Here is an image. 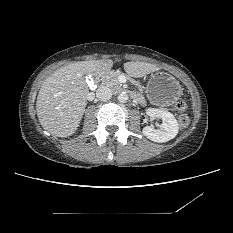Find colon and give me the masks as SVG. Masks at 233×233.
Listing matches in <instances>:
<instances>
[{"instance_id": "obj_1", "label": "colon", "mask_w": 233, "mask_h": 233, "mask_svg": "<svg viewBox=\"0 0 233 233\" xmlns=\"http://www.w3.org/2000/svg\"><path fill=\"white\" fill-rule=\"evenodd\" d=\"M188 104L185 101H178L175 105V110L178 113V122L181 127H187L190 119L187 115Z\"/></svg>"}]
</instances>
